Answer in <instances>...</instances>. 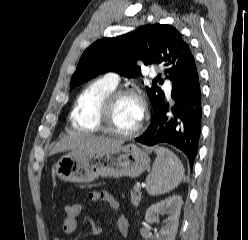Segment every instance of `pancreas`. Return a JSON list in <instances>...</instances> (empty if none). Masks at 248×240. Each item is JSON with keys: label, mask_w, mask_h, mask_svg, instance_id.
<instances>
[{"label": "pancreas", "mask_w": 248, "mask_h": 240, "mask_svg": "<svg viewBox=\"0 0 248 240\" xmlns=\"http://www.w3.org/2000/svg\"><path fill=\"white\" fill-rule=\"evenodd\" d=\"M141 200L140 187L134 186L133 191H131V202L133 205L138 206Z\"/></svg>", "instance_id": "pancreas-1"}]
</instances>
